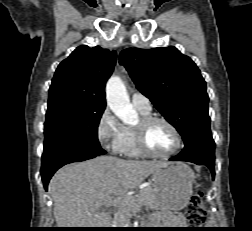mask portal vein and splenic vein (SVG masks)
Returning a JSON list of instances; mask_svg holds the SVG:
<instances>
[{"mask_svg":"<svg viewBox=\"0 0 252 231\" xmlns=\"http://www.w3.org/2000/svg\"><path fill=\"white\" fill-rule=\"evenodd\" d=\"M131 201L130 197H125L123 200L118 201V200H112L111 198H108L106 202L104 203L105 207H110V206H123Z\"/></svg>","mask_w":252,"mask_h":231,"instance_id":"portal-vein-and-splenic-vein-1","label":"portal vein and splenic vein"}]
</instances>
